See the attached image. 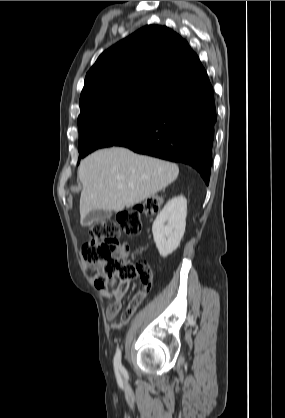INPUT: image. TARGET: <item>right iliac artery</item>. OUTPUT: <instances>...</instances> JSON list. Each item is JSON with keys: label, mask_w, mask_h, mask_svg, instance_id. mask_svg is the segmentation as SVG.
Listing matches in <instances>:
<instances>
[{"label": "right iliac artery", "mask_w": 285, "mask_h": 418, "mask_svg": "<svg viewBox=\"0 0 285 418\" xmlns=\"http://www.w3.org/2000/svg\"><path fill=\"white\" fill-rule=\"evenodd\" d=\"M114 368H115L116 373H118L119 371L122 372V373L125 372V369H124V367L122 366V363H121V351L120 350H117V352L115 354Z\"/></svg>", "instance_id": "82829eb1"}]
</instances>
